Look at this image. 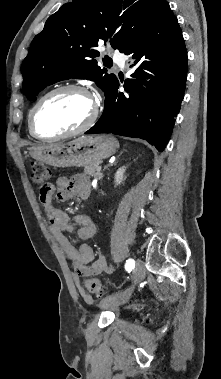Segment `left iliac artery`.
Masks as SVG:
<instances>
[{"label":"left iliac artery","instance_id":"1","mask_svg":"<svg viewBox=\"0 0 221 379\" xmlns=\"http://www.w3.org/2000/svg\"><path fill=\"white\" fill-rule=\"evenodd\" d=\"M133 267H134V260L132 258H129L125 263V270L127 272H131Z\"/></svg>","mask_w":221,"mask_h":379}]
</instances>
